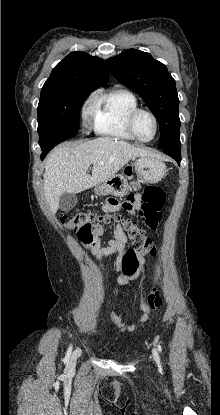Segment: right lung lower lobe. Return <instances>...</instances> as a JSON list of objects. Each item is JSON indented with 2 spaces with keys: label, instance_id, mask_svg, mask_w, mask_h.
<instances>
[{
  "label": "right lung lower lobe",
  "instance_id": "right-lung-lower-lobe-1",
  "mask_svg": "<svg viewBox=\"0 0 220 415\" xmlns=\"http://www.w3.org/2000/svg\"><path fill=\"white\" fill-rule=\"evenodd\" d=\"M52 148H46V149H42V154H41V160H43L46 156V154L51 150Z\"/></svg>",
  "mask_w": 220,
  "mask_h": 415
}]
</instances>
